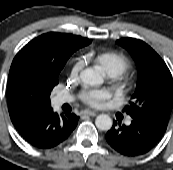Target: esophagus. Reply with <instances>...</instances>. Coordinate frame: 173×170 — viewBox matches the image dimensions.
Instances as JSON below:
<instances>
[{
    "instance_id": "obj_1",
    "label": "esophagus",
    "mask_w": 173,
    "mask_h": 170,
    "mask_svg": "<svg viewBox=\"0 0 173 170\" xmlns=\"http://www.w3.org/2000/svg\"><path fill=\"white\" fill-rule=\"evenodd\" d=\"M86 113H87V115H89L91 117L96 116V112H94V111H87Z\"/></svg>"
}]
</instances>
